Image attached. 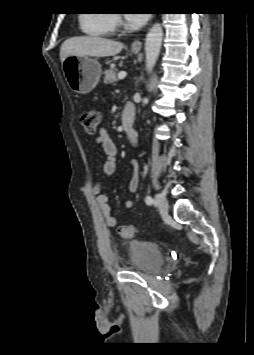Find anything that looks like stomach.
Instances as JSON below:
<instances>
[{"mask_svg":"<svg viewBox=\"0 0 254 355\" xmlns=\"http://www.w3.org/2000/svg\"><path fill=\"white\" fill-rule=\"evenodd\" d=\"M138 53V50H132ZM64 75L71 89L80 94L89 93L99 82L100 63L89 56H69L63 62Z\"/></svg>","mask_w":254,"mask_h":355,"instance_id":"0dacf381","label":"stomach"}]
</instances>
